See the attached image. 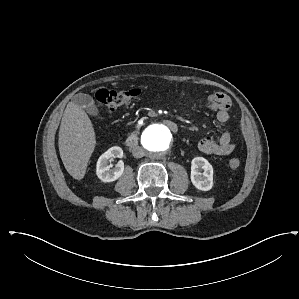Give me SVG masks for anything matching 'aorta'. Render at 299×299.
<instances>
[{"mask_svg":"<svg viewBox=\"0 0 299 299\" xmlns=\"http://www.w3.org/2000/svg\"><path fill=\"white\" fill-rule=\"evenodd\" d=\"M141 141L149 154L158 155L169 150L172 144V134L166 126L154 124L143 132Z\"/></svg>","mask_w":299,"mask_h":299,"instance_id":"1","label":"aorta"}]
</instances>
